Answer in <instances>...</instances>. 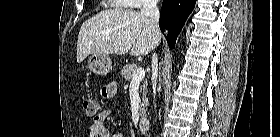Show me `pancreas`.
Here are the masks:
<instances>
[{"instance_id":"pancreas-1","label":"pancreas","mask_w":280,"mask_h":137,"mask_svg":"<svg viewBox=\"0 0 280 137\" xmlns=\"http://www.w3.org/2000/svg\"><path fill=\"white\" fill-rule=\"evenodd\" d=\"M138 69L136 64H128L124 66L121 70V75L124 77L126 81H130L132 79L133 73ZM147 81L145 80L140 86V92L142 93L143 102L140 107V116L143 119L146 116L145 107L148 106V98H147Z\"/></svg>"}]
</instances>
